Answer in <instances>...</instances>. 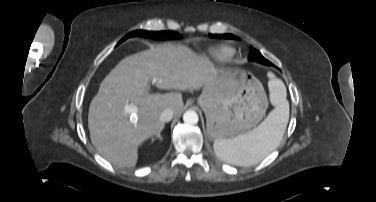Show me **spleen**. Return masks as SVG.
Wrapping results in <instances>:
<instances>
[{
  "label": "spleen",
  "instance_id": "3e777b00",
  "mask_svg": "<svg viewBox=\"0 0 376 202\" xmlns=\"http://www.w3.org/2000/svg\"><path fill=\"white\" fill-rule=\"evenodd\" d=\"M270 101L276 108L254 130L214 141V152L221 160L239 166H251L268 156L281 142L288 120L289 104L283 82L269 75Z\"/></svg>",
  "mask_w": 376,
  "mask_h": 202
}]
</instances>
